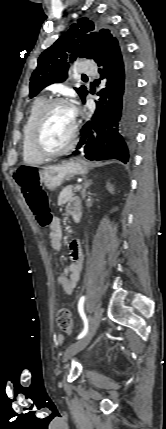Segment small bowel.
I'll return each instance as SVG.
<instances>
[{
	"label": "small bowel",
	"instance_id": "obj_1",
	"mask_svg": "<svg viewBox=\"0 0 166 429\" xmlns=\"http://www.w3.org/2000/svg\"><path fill=\"white\" fill-rule=\"evenodd\" d=\"M81 203L77 198L70 200L66 207V211L70 215L78 214L80 216ZM50 247L54 251H59L62 247V228L61 222L58 217L53 218L50 224ZM70 264L60 271L57 281L58 284L63 288L64 292L71 295L76 288V285L80 278V273L83 268V252L81 243L79 240H73L70 243ZM56 341L59 344H63L65 341L64 335L58 333L56 335Z\"/></svg>",
	"mask_w": 166,
	"mask_h": 429
}]
</instances>
